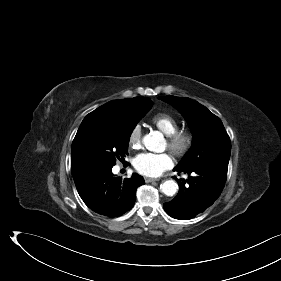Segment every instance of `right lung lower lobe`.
Segmentation results:
<instances>
[{"instance_id":"obj_1","label":"right lung lower lobe","mask_w":281,"mask_h":281,"mask_svg":"<svg viewBox=\"0 0 281 281\" xmlns=\"http://www.w3.org/2000/svg\"><path fill=\"white\" fill-rule=\"evenodd\" d=\"M113 166H99L73 175L77 191L84 203L94 212L120 216L130 210L136 200V189L145 183L140 175L131 178L114 177Z\"/></svg>"}]
</instances>
